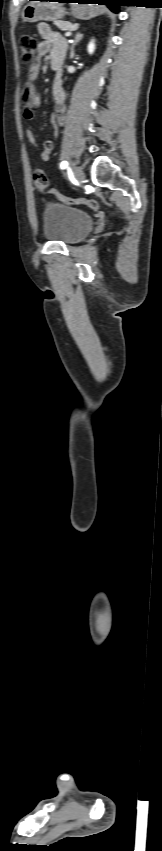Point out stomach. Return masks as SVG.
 <instances>
[{"label": "stomach", "instance_id": "1", "mask_svg": "<svg viewBox=\"0 0 162 851\" xmlns=\"http://www.w3.org/2000/svg\"><path fill=\"white\" fill-rule=\"evenodd\" d=\"M71 4V14L81 20L94 18L105 12V8L98 6L85 5L82 1ZM68 12L62 6L47 5L42 2H29L24 6L21 12V17L24 22L57 21L63 18Z\"/></svg>", "mask_w": 162, "mask_h": 851}]
</instances>
